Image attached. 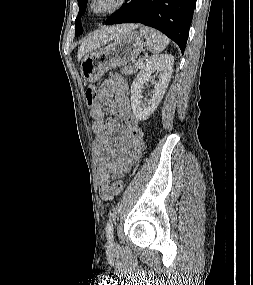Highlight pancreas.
Returning a JSON list of instances; mask_svg holds the SVG:
<instances>
[{
    "label": "pancreas",
    "mask_w": 253,
    "mask_h": 285,
    "mask_svg": "<svg viewBox=\"0 0 253 285\" xmlns=\"http://www.w3.org/2000/svg\"><path fill=\"white\" fill-rule=\"evenodd\" d=\"M138 70L137 66H126L123 69H121V73L124 75H132L134 73H136Z\"/></svg>",
    "instance_id": "cf45deb5"
}]
</instances>
